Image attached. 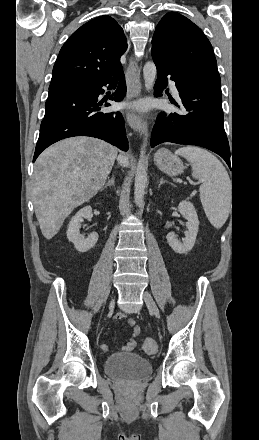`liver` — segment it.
<instances>
[{"instance_id": "1", "label": "liver", "mask_w": 259, "mask_h": 440, "mask_svg": "<svg viewBox=\"0 0 259 440\" xmlns=\"http://www.w3.org/2000/svg\"><path fill=\"white\" fill-rule=\"evenodd\" d=\"M128 156L93 137H71L48 147L34 166L33 202L43 236L50 240L66 217L104 186L115 160Z\"/></svg>"}]
</instances>
